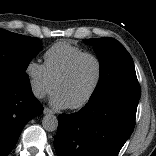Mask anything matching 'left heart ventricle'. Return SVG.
I'll list each match as a JSON object with an SVG mask.
<instances>
[{"instance_id": "obj_1", "label": "left heart ventricle", "mask_w": 156, "mask_h": 156, "mask_svg": "<svg viewBox=\"0 0 156 156\" xmlns=\"http://www.w3.org/2000/svg\"><path fill=\"white\" fill-rule=\"evenodd\" d=\"M98 76V65L92 58L82 59L71 76L60 83L56 89L66 103L71 106L83 100L91 91Z\"/></svg>"}]
</instances>
